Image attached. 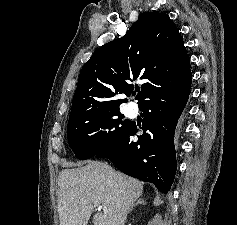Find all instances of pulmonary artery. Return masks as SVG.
<instances>
[{"label":"pulmonary artery","mask_w":237,"mask_h":225,"mask_svg":"<svg viewBox=\"0 0 237 225\" xmlns=\"http://www.w3.org/2000/svg\"><path fill=\"white\" fill-rule=\"evenodd\" d=\"M128 110L130 113L134 112L136 110V105L134 103H129Z\"/></svg>","instance_id":"pulmonary-artery-1"}]
</instances>
